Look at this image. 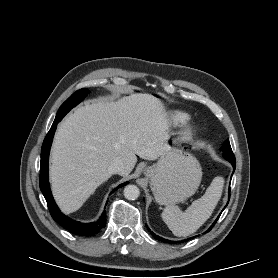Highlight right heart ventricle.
<instances>
[{"label": "right heart ventricle", "mask_w": 278, "mask_h": 278, "mask_svg": "<svg viewBox=\"0 0 278 278\" xmlns=\"http://www.w3.org/2000/svg\"><path fill=\"white\" fill-rule=\"evenodd\" d=\"M188 119L189 115L183 111H175L171 115V120L176 125L184 124Z\"/></svg>", "instance_id": "e07e8e85"}]
</instances>
